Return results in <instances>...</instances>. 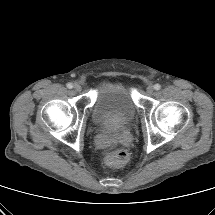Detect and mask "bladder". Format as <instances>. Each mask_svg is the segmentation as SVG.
<instances>
[{
	"label": "bladder",
	"instance_id": "1",
	"mask_svg": "<svg viewBox=\"0 0 215 215\" xmlns=\"http://www.w3.org/2000/svg\"><path fill=\"white\" fill-rule=\"evenodd\" d=\"M135 104L125 87L115 82H102L92 105V120L102 126L119 128L135 116Z\"/></svg>",
	"mask_w": 215,
	"mask_h": 215
}]
</instances>
